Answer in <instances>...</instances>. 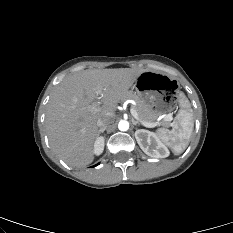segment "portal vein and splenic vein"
Listing matches in <instances>:
<instances>
[{"label": "portal vein and splenic vein", "instance_id": "obj_1", "mask_svg": "<svg viewBox=\"0 0 233 233\" xmlns=\"http://www.w3.org/2000/svg\"><path fill=\"white\" fill-rule=\"evenodd\" d=\"M97 95H98L97 99L99 100L101 98V96H100L101 95V89H99V88L97 89ZM96 103H97V105H99V102H96ZM130 112H131L132 116L136 120H138L145 127L153 128V127H156V126L160 125V122H145V121L140 120L139 115H138V113L136 112V110L134 109L133 106L130 107ZM163 120L166 121V122H171L172 121V116L171 115H166V116H164Z\"/></svg>", "mask_w": 233, "mask_h": 233}]
</instances>
